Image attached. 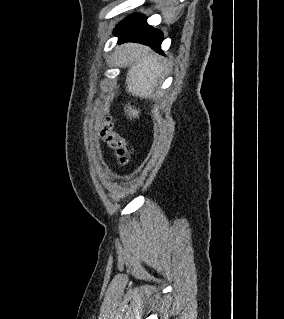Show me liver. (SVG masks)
I'll list each match as a JSON object with an SVG mask.
<instances>
[{
  "instance_id": "6515ba94",
  "label": "liver",
  "mask_w": 284,
  "mask_h": 319,
  "mask_svg": "<svg viewBox=\"0 0 284 319\" xmlns=\"http://www.w3.org/2000/svg\"><path fill=\"white\" fill-rule=\"evenodd\" d=\"M122 52L131 62V68L126 75L127 92L136 97L150 98L162 73L157 57L150 53L148 47L136 43L123 45ZM124 109L130 119L139 117L140 111L130 105Z\"/></svg>"
}]
</instances>
